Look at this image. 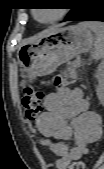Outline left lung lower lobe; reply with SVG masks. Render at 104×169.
Masks as SVG:
<instances>
[{"mask_svg":"<svg viewBox=\"0 0 104 169\" xmlns=\"http://www.w3.org/2000/svg\"><path fill=\"white\" fill-rule=\"evenodd\" d=\"M102 21L104 22V3L99 0H79L77 9L65 21Z\"/></svg>","mask_w":104,"mask_h":169,"instance_id":"1","label":"left lung lower lobe"}]
</instances>
